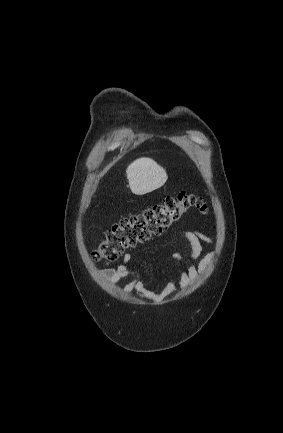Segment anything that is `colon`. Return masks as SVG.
Returning a JSON list of instances; mask_svg holds the SVG:
<instances>
[{
	"label": "colon",
	"instance_id": "5ec220e1",
	"mask_svg": "<svg viewBox=\"0 0 283 433\" xmlns=\"http://www.w3.org/2000/svg\"><path fill=\"white\" fill-rule=\"evenodd\" d=\"M190 209L207 212V206L201 198L181 191L139 214L124 217L106 231L94 255L107 263L113 262L128 248L163 234Z\"/></svg>",
	"mask_w": 283,
	"mask_h": 433
}]
</instances>
